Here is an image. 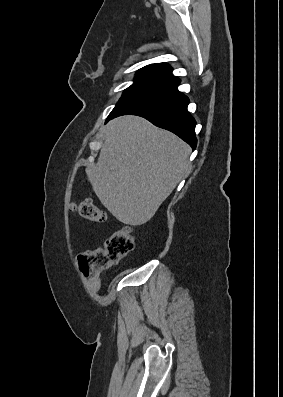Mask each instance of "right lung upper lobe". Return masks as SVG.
<instances>
[{"label":"right lung upper lobe","instance_id":"cb5924a9","mask_svg":"<svg viewBox=\"0 0 283 397\" xmlns=\"http://www.w3.org/2000/svg\"><path fill=\"white\" fill-rule=\"evenodd\" d=\"M137 74L144 75L153 80H160L174 85L180 80L172 74V68L165 63H156L141 68Z\"/></svg>","mask_w":283,"mask_h":397}]
</instances>
